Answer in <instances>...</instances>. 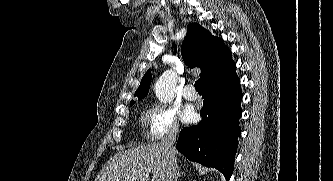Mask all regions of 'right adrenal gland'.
Instances as JSON below:
<instances>
[{
	"instance_id": "1",
	"label": "right adrenal gland",
	"mask_w": 333,
	"mask_h": 181,
	"mask_svg": "<svg viewBox=\"0 0 333 181\" xmlns=\"http://www.w3.org/2000/svg\"><path fill=\"white\" fill-rule=\"evenodd\" d=\"M183 174H184V172H180V169L177 167V173H176V177H175L174 181H178V178Z\"/></svg>"
}]
</instances>
